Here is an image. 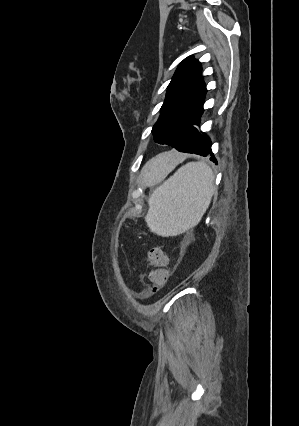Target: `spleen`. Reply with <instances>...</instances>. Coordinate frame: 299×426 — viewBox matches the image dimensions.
Here are the masks:
<instances>
[{"mask_svg": "<svg viewBox=\"0 0 299 426\" xmlns=\"http://www.w3.org/2000/svg\"><path fill=\"white\" fill-rule=\"evenodd\" d=\"M213 191L212 169L203 161L187 163L149 196L145 221L157 235L181 234L200 222Z\"/></svg>", "mask_w": 299, "mask_h": 426, "instance_id": "1", "label": "spleen"}]
</instances>
